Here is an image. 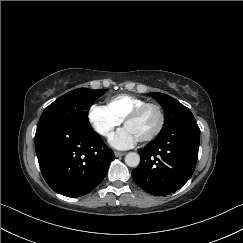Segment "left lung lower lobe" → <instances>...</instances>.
I'll return each mask as SVG.
<instances>
[{
	"mask_svg": "<svg viewBox=\"0 0 243 243\" xmlns=\"http://www.w3.org/2000/svg\"><path fill=\"white\" fill-rule=\"evenodd\" d=\"M199 141L200 129L195 118L158 134L139 151L140 164L132 171L135 183L153 195L175 192L194 172Z\"/></svg>",
	"mask_w": 243,
	"mask_h": 243,
	"instance_id": "0a47b994",
	"label": "left lung lower lobe"
}]
</instances>
